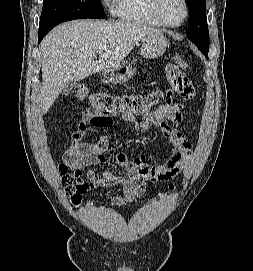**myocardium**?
I'll return each mask as SVG.
<instances>
[{
    "mask_svg": "<svg viewBox=\"0 0 253 271\" xmlns=\"http://www.w3.org/2000/svg\"><path fill=\"white\" fill-rule=\"evenodd\" d=\"M181 1L184 6V17L177 24L170 23L165 18V16L162 13V10H161V0H151V9H152V12L155 15V17L159 20V22L161 24H163V26L170 27V28H178L185 23V21L188 18V15H189V6H188L187 1L186 0H181Z\"/></svg>",
    "mask_w": 253,
    "mask_h": 271,
    "instance_id": "1",
    "label": "myocardium"
}]
</instances>
